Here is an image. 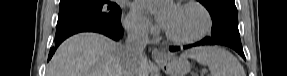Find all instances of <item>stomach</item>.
Returning a JSON list of instances; mask_svg holds the SVG:
<instances>
[{"label": "stomach", "mask_w": 287, "mask_h": 76, "mask_svg": "<svg viewBox=\"0 0 287 76\" xmlns=\"http://www.w3.org/2000/svg\"><path fill=\"white\" fill-rule=\"evenodd\" d=\"M157 64L165 71L168 76H185L190 71V63L186 58L168 56Z\"/></svg>", "instance_id": "stomach-1"}]
</instances>
